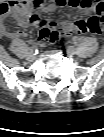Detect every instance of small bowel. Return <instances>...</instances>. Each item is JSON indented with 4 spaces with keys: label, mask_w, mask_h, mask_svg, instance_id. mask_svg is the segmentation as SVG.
Returning a JSON list of instances; mask_svg holds the SVG:
<instances>
[{
    "label": "small bowel",
    "mask_w": 104,
    "mask_h": 137,
    "mask_svg": "<svg viewBox=\"0 0 104 137\" xmlns=\"http://www.w3.org/2000/svg\"><path fill=\"white\" fill-rule=\"evenodd\" d=\"M43 0H9L0 5V33L1 35L17 39L26 35L22 30L11 31L7 26V20L13 18L18 26L21 28H27L31 24L35 25H50L57 26V23L53 20H47L35 13V10L41 7ZM63 6H70L74 8L82 9L87 14H94L89 19H79L71 23H63L60 28L63 29L64 34L69 33H91L96 35L102 30V24L100 28H95V31L91 29L93 26L90 24V20L94 16L102 18L104 14V4L100 0H49V2L43 6L45 12H54Z\"/></svg>",
    "instance_id": "obj_1"
}]
</instances>
